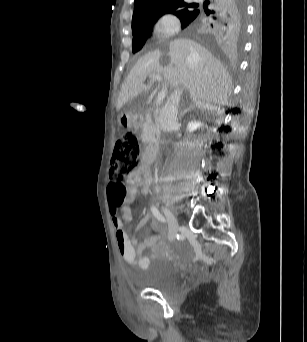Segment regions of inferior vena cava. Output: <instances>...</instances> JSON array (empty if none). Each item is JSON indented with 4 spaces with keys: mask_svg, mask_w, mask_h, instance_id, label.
Wrapping results in <instances>:
<instances>
[{
    "mask_svg": "<svg viewBox=\"0 0 307 342\" xmlns=\"http://www.w3.org/2000/svg\"><path fill=\"white\" fill-rule=\"evenodd\" d=\"M181 96L182 88H177V90H174L173 94H171L170 98H168L164 108H162L159 116V122L163 132H170L171 128L176 126Z\"/></svg>",
    "mask_w": 307,
    "mask_h": 342,
    "instance_id": "inferior-vena-cava-1",
    "label": "inferior vena cava"
}]
</instances>
